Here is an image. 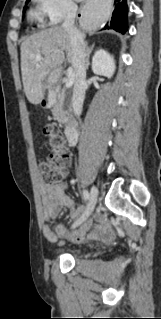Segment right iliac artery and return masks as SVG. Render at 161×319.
Returning a JSON list of instances; mask_svg holds the SVG:
<instances>
[{
  "instance_id": "obj_1",
  "label": "right iliac artery",
  "mask_w": 161,
  "mask_h": 319,
  "mask_svg": "<svg viewBox=\"0 0 161 319\" xmlns=\"http://www.w3.org/2000/svg\"><path fill=\"white\" fill-rule=\"evenodd\" d=\"M83 196L86 201L89 200V192L87 190L83 191Z\"/></svg>"
}]
</instances>
